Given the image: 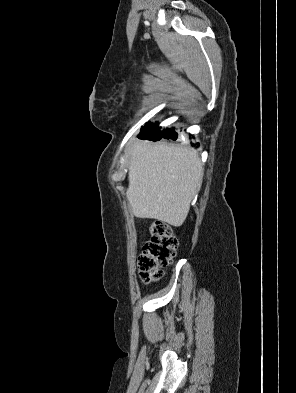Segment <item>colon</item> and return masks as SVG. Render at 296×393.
Instances as JSON below:
<instances>
[{"label": "colon", "mask_w": 296, "mask_h": 393, "mask_svg": "<svg viewBox=\"0 0 296 393\" xmlns=\"http://www.w3.org/2000/svg\"><path fill=\"white\" fill-rule=\"evenodd\" d=\"M150 234L138 258V268L144 284H150L161 277V269L170 264L177 248V239L167 223L152 221Z\"/></svg>", "instance_id": "1"}]
</instances>
